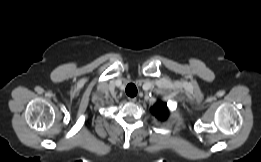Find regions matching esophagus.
<instances>
[{
  "instance_id": "1",
  "label": "esophagus",
  "mask_w": 261,
  "mask_h": 162,
  "mask_svg": "<svg viewBox=\"0 0 261 162\" xmlns=\"http://www.w3.org/2000/svg\"><path fill=\"white\" fill-rule=\"evenodd\" d=\"M128 100H129L130 102H136V98H135V97H129Z\"/></svg>"
}]
</instances>
